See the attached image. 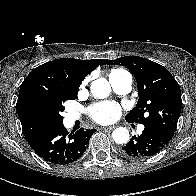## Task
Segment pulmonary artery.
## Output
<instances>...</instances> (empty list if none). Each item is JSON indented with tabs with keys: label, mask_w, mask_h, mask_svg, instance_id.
Segmentation results:
<instances>
[{
	"label": "pulmonary artery",
	"mask_w": 196,
	"mask_h": 196,
	"mask_svg": "<svg viewBox=\"0 0 196 196\" xmlns=\"http://www.w3.org/2000/svg\"><path fill=\"white\" fill-rule=\"evenodd\" d=\"M110 83L112 85V88L115 92L118 94H126L131 90L132 86V76L128 72H124L118 76L115 77H109ZM77 113H70L69 118L71 120H76L78 118ZM144 129V126L139 127V132H142Z\"/></svg>",
	"instance_id": "1"
}]
</instances>
